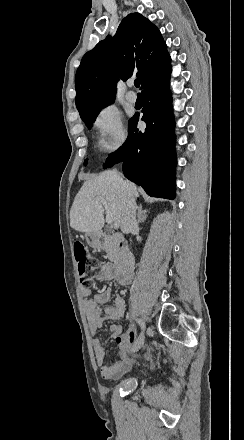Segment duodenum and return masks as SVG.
I'll list each match as a JSON object with an SVG mask.
<instances>
[{
	"label": "duodenum",
	"instance_id": "1",
	"mask_svg": "<svg viewBox=\"0 0 244 440\" xmlns=\"http://www.w3.org/2000/svg\"><path fill=\"white\" fill-rule=\"evenodd\" d=\"M93 244L100 249H108L111 246L116 248H122L124 246V241L120 236L110 238L106 236L104 233L98 232L94 234L92 237ZM135 257L131 253H121L117 267L121 271H126L128 274L133 272V268L135 266Z\"/></svg>",
	"mask_w": 244,
	"mask_h": 440
}]
</instances>
